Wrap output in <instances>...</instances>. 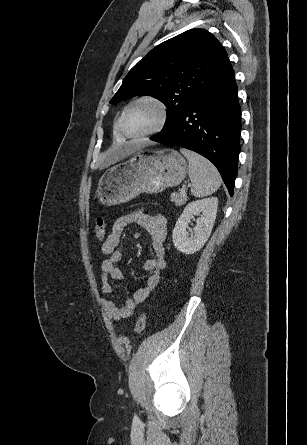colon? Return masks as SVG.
<instances>
[{"label": "colon", "mask_w": 307, "mask_h": 445, "mask_svg": "<svg viewBox=\"0 0 307 445\" xmlns=\"http://www.w3.org/2000/svg\"><path fill=\"white\" fill-rule=\"evenodd\" d=\"M106 220L103 217H98L95 225V235L98 240H103L106 234ZM146 326V314L141 313L136 321L134 333L140 334Z\"/></svg>", "instance_id": "5ec220e1"}]
</instances>
